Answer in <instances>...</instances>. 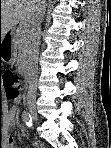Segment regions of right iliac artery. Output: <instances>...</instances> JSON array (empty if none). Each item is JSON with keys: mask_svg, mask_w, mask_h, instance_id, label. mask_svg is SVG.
<instances>
[{"mask_svg": "<svg viewBox=\"0 0 111 148\" xmlns=\"http://www.w3.org/2000/svg\"><path fill=\"white\" fill-rule=\"evenodd\" d=\"M22 119H23V122L27 126H32V117H31L30 113L24 111L23 114H22Z\"/></svg>", "mask_w": 111, "mask_h": 148, "instance_id": "obj_1", "label": "right iliac artery"}]
</instances>
